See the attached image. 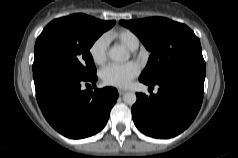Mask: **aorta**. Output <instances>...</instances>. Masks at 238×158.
I'll list each match as a JSON object with an SVG mask.
<instances>
[{
    "label": "aorta",
    "mask_w": 238,
    "mask_h": 158,
    "mask_svg": "<svg viewBox=\"0 0 238 158\" xmlns=\"http://www.w3.org/2000/svg\"><path fill=\"white\" fill-rule=\"evenodd\" d=\"M109 58L116 62H123L128 60L129 54L122 48L114 47L111 48L109 51ZM137 100L136 94L134 92H127L123 95V101L124 103L128 105L135 104Z\"/></svg>",
    "instance_id": "1"
}]
</instances>
